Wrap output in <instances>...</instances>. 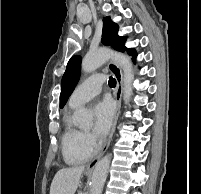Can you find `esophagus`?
I'll return each mask as SVG.
<instances>
[{
    "label": "esophagus",
    "mask_w": 201,
    "mask_h": 194,
    "mask_svg": "<svg viewBox=\"0 0 201 194\" xmlns=\"http://www.w3.org/2000/svg\"><path fill=\"white\" fill-rule=\"evenodd\" d=\"M108 68L109 70L112 72V74L115 76L116 78V82H117V86H116V91H115V99H116V111H115V115H114V119H113V123H112V127H111V131L110 134L101 150V152L99 153V155L97 157H95L86 167L87 170H92L95 168V166L97 165L98 161L100 160V158L102 157V155L105 153V151L107 150L113 134L115 132V128L117 125V121H118V117L120 114V109H121V99H122V93H123V74H122V70L121 68L114 62L110 61L108 63Z\"/></svg>",
    "instance_id": "34e87169"
}]
</instances>
